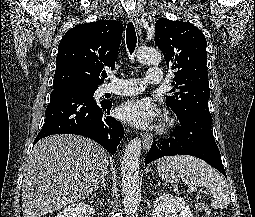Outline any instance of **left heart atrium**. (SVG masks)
I'll list each match as a JSON object with an SVG mask.
<instances>
[{"mask_svg": "<svg viewBox=\"0 0 255 217\" xmlns=\"http://www.w3.org/2000/svg\"><path fill=\"white\" fill-rule=\"evenodd\" d=\"M119 113L128 124L143 129L156 126L161 118L159 109L146 97L125 102L120 107Z\"/></svg>", "mask_w": 255, "mask_h": 217, "instance_id": "left-heart-atrium-1", "label": "left heart atrium"}]
</instances>
